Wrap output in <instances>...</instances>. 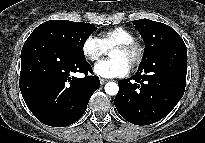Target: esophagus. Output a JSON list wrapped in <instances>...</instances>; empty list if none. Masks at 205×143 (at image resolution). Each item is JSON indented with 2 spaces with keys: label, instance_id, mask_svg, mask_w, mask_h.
<instances>
[{
  "label": "esophagus",
  "instance_id": "34e87169",
  "mask_svg": "<svg viewBox=\"0 0 205 143\" xmlns=\"http://www.w3.org/2000/svg\"><path fill=\"white\" fill-rule=\"evenodd\" d=\"M106 82H108V80L107 79H104V78H100V83L103 85V84H105Z\"/></svg>",
  "mask_w": 205,
  "mask_h": 143
}]
</instances>
